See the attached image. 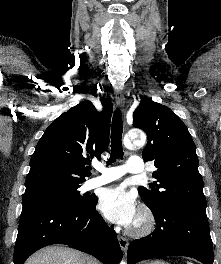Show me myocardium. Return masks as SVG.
<instances>
[{
    "instance_id": "f54148a6",
    "label": "myocardium",
    "mask_w": 221,
    "mask_h": 264,
    "mask_svg": "<svg viewBox=\"0 0 221 264\" xmlns=\"http://www.w3.org/2000/svg\"><path fill=\"white\" fill-rule=\"evenodd\" d=\"M155 224L156 222L152 211L148 207L143 206L130 232L134 236H145L154 230Z\"/></svg>"
}]
</instances>
